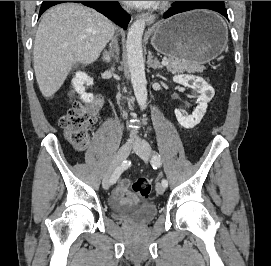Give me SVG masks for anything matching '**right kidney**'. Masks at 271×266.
I'll use <instances>...</instances> for the list:
<instances>
[{
	"instance_id": "ca27d5eb",
	"label": "right kidney",
	"mask_w": 271,
	"mask_h": 266,
	"mask_svg": "<svg viewBox=\"0 0 271 266\" xmlns=\"http://www.w3.org/2000/svg\"><path fill=\"white\" fill-rule=\"evenodd\" d=\"M92 85L93 79L90 78L85 72L78 71L75 74V77L72 79V86L74 90L80 94V98L86 102L91 103L94 99L93 94L86 93L85 92V86L84 85Z\"/></svg>"
}]
</instances>
